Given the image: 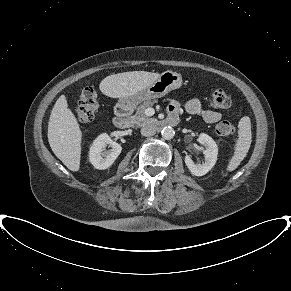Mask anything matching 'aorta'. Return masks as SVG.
I'll return each instance as SVG.
<instances>
[{
	"mask_svg": "<svg viewBox=\"0 0 291 291\" xmlns=\"http://www.w3.org/2000/svg\"><path fill=\"white\" fill-rule=\"evenodd\" d=\"M161 134L164 139L170 140L174 137L175 131L172 127L168 126L163 128Z\"/></svg>",
	"mask_w": 291,
	"mask_h": 291,
	"instance_id": "obj_1",
	"label": "aorta"
}]
</instances>
